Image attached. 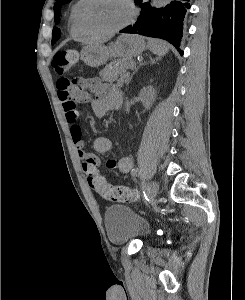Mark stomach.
<instances>
[{"label":"stomach","instance_id":"0dacf381","mask_svg":"<svg viewBox=\"0 0 245 300\" xmlns=\"http://www.w3.org/2000/svg\"><path fill=\"white\" fill-rule=\"evenodd\" d=\"M144 39L138 35L123 34L109 46L88 45L81 50V60L90 67L105 64L111 58H131L140 55L146 49Z\"/></svg>","mask_w":245,"mask_h":300}]
</instances>
